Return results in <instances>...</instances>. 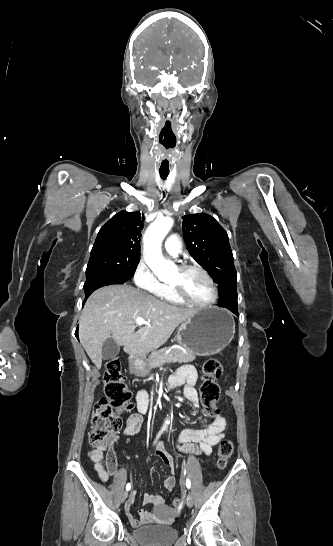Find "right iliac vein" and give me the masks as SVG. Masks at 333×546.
<instances>
[{
	"label": "right iliac vein",
	"mask_w": 333,
	"mask_h": 546,
	"mask_svg": "<svg viewBox=\"0 0 333 546\" xmlns=\"http://www.w3.org/2000/svg\"><path fill=\"white\" fill-rule=\"evenodd\" d=\"M127 496H128V493L126 491L123 492L122 495H121V501L124 502L126 500Z\"/></svg>",
	"instance_id": "right-iliac-vein-1"
}]
</instances>
